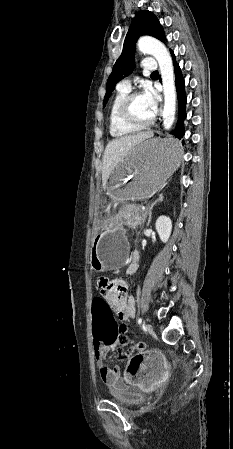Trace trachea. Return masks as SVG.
I'll list each match as a JSON object with an SVG mask.
<instances>
[{
	"instance_id": "obj_1",
	"label": "trachea",
	"mask_w": 233,
	"mask_h": 449,
	"mask_svg": "<svg viewBox=\"0 0 233 449\" xmlns=\"http://www.w3.org/2000/svg\"><path fill=\"white\" fill-rule=\"evenodd\" d=\"M157 74H158V71L152 72V75H157Z\"/></svg>"
}]
</instances>
